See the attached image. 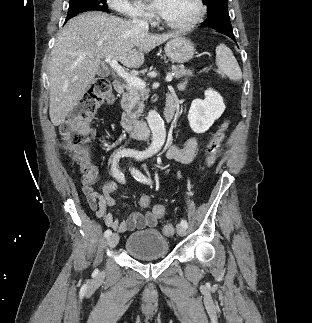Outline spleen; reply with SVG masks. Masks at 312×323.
I'll list each match as a JSON object with an SVG mask.
<instances>
[{"label":"spleen","instance_id":"spleen-1","mask_svg":"<svg viewBox=\"0 0 312 323\" xmlns=\"http://www.w3.org/2000/svg\"><path fill=\"white\" fill-rule=\"evenodd\" d=\"M215 52L216 66H218L220 74H222V76H228V78L234 80V82H239L242 78V72L230 48H227L225 44H219Z\"/></svg>","mask_w":312,"mask_h":323}]
</instances>
